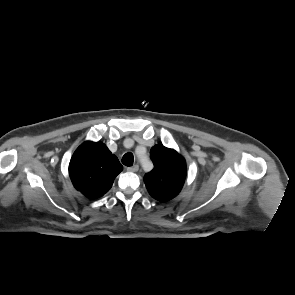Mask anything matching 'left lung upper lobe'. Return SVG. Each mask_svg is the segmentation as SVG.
I'll return each instance as SVG.
<instances>
[{
    "label": "left lung upper lobe",
    "instance_id": "5c2ea615",
    "mask_svg": "<svg viewBox=\"0 0 295 295\" xmlns=\"http://www.w3.org/2000/svg\"><path fill=\"white\" fill-rule=\"evenodd\" d=\"M154 164L145 174L144 182L149 194L160 202H168L181 191L187 173L185 159L174 149L155 145L150 150Z\"/></svg>",
    "mask_w": 295,
    "mask_h": 295
}]
</instances>
